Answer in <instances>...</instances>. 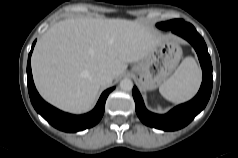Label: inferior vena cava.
Wrapping results in <instances>:
<instances>
[{"mask_svg":"<svg viewBox=\"0 0 238 158\" xmlns=\"http://www.w3.org/2000/svg\"><path fill=\"white\" fill-rule=\"evenodd\" d=\"M97 81L102 86H109L113 80L111 73L108 70L102 69L96 75Z\"/></svg>","mask_w":238,"mask_h":158,"instance_id":"inferior-vena-cava-1","label":"inferior vena cava"}]
</instances>
